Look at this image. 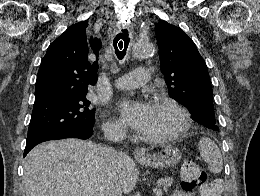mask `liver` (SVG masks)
<instances>
[{"mask_svg":"<svg viewBox=\"0 0 260 196\" xmlns=\"http://www.w3.org/2000/svg\"><path fill=\"white\" fill-rule=\"evenodd\" d=\"M106 150V146L74 138L39 144L24 164L26 196H106L109 174H116L123 194H130L139 170L123 152L115 164L106 162Z\"/></svg>","mask_w":260,"mask_h":196,"instance_id":"liver-1","label":"liver"}]
</instances>
